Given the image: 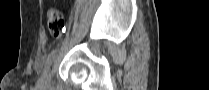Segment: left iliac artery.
I'll list each match as a JSON object with an SVG mask.
<instances>
[{
    "label": "left iliac artery",
    "instance_id": "1",
    "mask_svg": "<svg viewBox=\"0 0 209 90\" xmlns=\"http://www.w3.org/2000/svg\"><path fill=\"white\" fill-rule=\"evenodd\" d=\"M58 49H54L51 51V53L47 56L45 60V70L44 72L47 71V69L51 66L56 54H57Z\"/></svg>",
    "mask_w": 209,
    "mask_h": 90
}]
</instances>
